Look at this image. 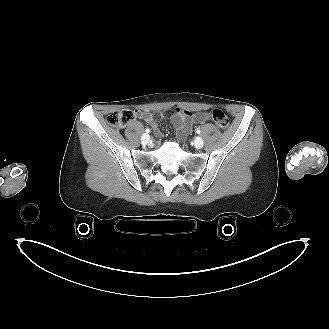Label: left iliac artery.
Masks as SVG:
<instances>
[{
    "instance_id": "left-iliac-artery-1",
    "label": "left iliac artery",
    "mask_w": 329,
    "mask_h": 329,
    "mask_svg": "<svg viewBox=\"0 0 329 329\" xmlns=\"http://www.w3.org/2000/svg\"><path fill=\"white\" fill-rule=\"evenodd\" d=\"M196 133H197V134H200V133H201L200 129H197V130H196Z\"/></svg>"
}]
</instances>
